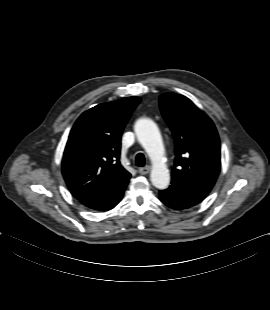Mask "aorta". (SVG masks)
Masks as SVG:
<instances>
[{
  "label": "aorta",
  "instance_id": "obj_1",
  "mask_svg": "<svg viewBox=\"0 0 270 310\" xmlns=\"http://www.w3.org/2000/svg\"><path fill=\"white\" fill-rule=\"evenodd\" d=\"M134 130L153 163L150 174L153 186L166 189L170 183V173L163 162L164 146L157 125L151 119L141 118L135 123Z\"/></svg>",
  "mask_w": 270,
  "mask_h": 310
}]
</instances>
